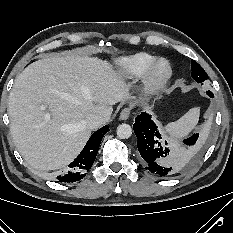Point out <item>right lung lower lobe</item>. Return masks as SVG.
<instances>
[{
  "label": "right lung lower lobe",
  "mask_w": 233,
  "mask_h": 233,
  "mask_svg": "<svg viewBox=\"0 0 233 233\" xmlns=\"http://www.w3.org/2000/svg\"><path fill=\"white\" fill-rule=\"evenodd\" d=\"M108 126L94 132L77 158L68 165L69 170L57 177L59 182H75L82 179L92 167L103 136L107 133Z\"/></svg>",
  "instance_id": "right-lung-lower-lobe-1"
}]
</instances>
